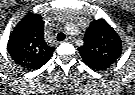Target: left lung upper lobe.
Segmentation results:
<instances>
[{"label":"left lung upper lobe","mask_w":135,"mask_h":95,"mask_svg":"<svg viewBox=\"0 0 135 95\" xmlns=\"http://www.w3.org/2000/svg\"><path fill=\"white\" fill-rule=\"evenodd\" d=\"M78 50L86 65L102 71L120 58L122 41L105 20H94L86 30L84 44Z\"/></svg>","instance_id":"1"}]
</instances>
